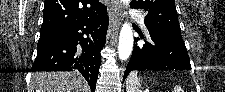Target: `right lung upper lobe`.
<instances>
[{
	"mask_svg": "<svg viewBox=\"0 0 225 92\" xmlns=\"http://www.w3.org/2000/svg\"><path fill=\"white\" fill-rule=\"evenodd\" d=\"M106 6L99 0H45L41 29H66L100 14Z\"/></svg>",
	"mask_w": 225,
	"mask_h": 92,
	"instance_id": "cb5924a9",
	"label": "right lung upper lobe"
}]
</instances>
